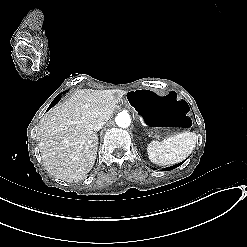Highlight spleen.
<instances>
[{
    "label": "spleen",
    "mask_w": 247,
    "mask_h": 247,
    "mask_svg": "<svg viewBox=\"0 0 247 247\" xmlns=\"http://www.w3.org/2000/svg\"><path fill=\"white\" fill-rule=\"evenodd\" d=\"M196 139L197 135L194 132L171 135L162 141H151L146 151L150 160L155 164H173L192 153L196 145Z\"/></svg>",
    "instance_id": "obj_1"
}]
</instances>
